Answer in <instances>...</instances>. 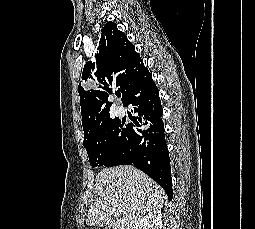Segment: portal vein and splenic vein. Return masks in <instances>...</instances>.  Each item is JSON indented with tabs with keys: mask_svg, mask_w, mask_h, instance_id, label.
I'll return each instance as SVG.
<instances>
[{
	"mask_svg": "<svg viewBox=\"0 0 255 229\" xmlns=\"http://www.w3.org/2000/svg\"><path fill=\"white\" fill-rule=\"evenodd\" d=\"M119 214H122V211H119Z\"/></svg>",
	"mask_w": 255,
	"mask_h": 229,
	"instance_id": "obj_1",
	"label": "portal vein and splenic vein"
}]
</instances>
